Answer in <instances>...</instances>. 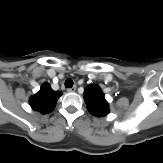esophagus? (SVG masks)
Returning a JSON list of instances; mask_svg holds the SVG:
<instances>
[{
  "label": "esophagus",
  "instance_id": "obj_1",
  "mask_svg": "<svg viewBox=\"0 0 163 163\" xmlns=\"http://www.w3.org/2000/svg\"><path fill=\"white\" fill-rule=\"evenodd\" d=\"M76 88H77L76 86H73L72 88H68L67 89V92H71V93L72 92H75L76 91Z\"/></svg>",
  "mask_w": 163,
  "mask_h": 163
}]
</instances>
